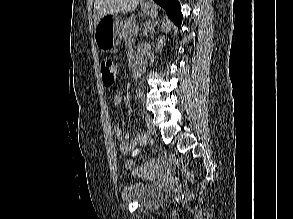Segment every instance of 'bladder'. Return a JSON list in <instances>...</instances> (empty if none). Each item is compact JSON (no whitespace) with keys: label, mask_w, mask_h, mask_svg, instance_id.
Returning a JSON list of instances; mask_svg holds the SVG:
<instances>
[{"label":"bladder","mask_w":293,"mask_h":219,"mask_svg":"<svg viewBox=\"0 0 293 219\" xmlns=\"http://www.w3.org/2000/svg\"><path fill=\"white\" fill-rule=\"evenodd\" d=\"M121 196L126 201L154 207L162 201L163 190L156 185L136 181L124 186Z\"/></svg>","instance_id":"obj_1"}]
</instances>
